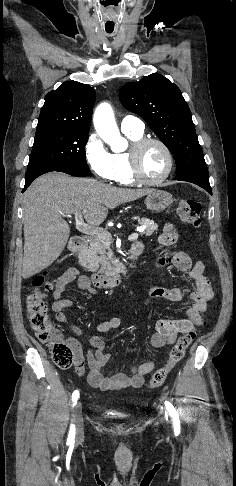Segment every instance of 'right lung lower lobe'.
<instances>
[{"instance_id":"right-lung-lower-lobe-1","label":"right lung lower lobe","mask_w":236,"mask_h":486,"mask_svg":"<svg viewBox=\"0 0 236 486\" xmlns=\"http://www.w3.org/2000/svg\"><path fill=\"white\" fill-rule=\"evenodd\" d=\"M51 171L64 172L69 175L77 176V177H85L91 174L90 170H81V169H74L68 167H56V166H49V165L32 167L27 169L26 171L25 186L22 192H24L27 189V187L32 183L34 179H36L37 177H39L44 173L51 172Z\"/></svg>"}]
</instances>
